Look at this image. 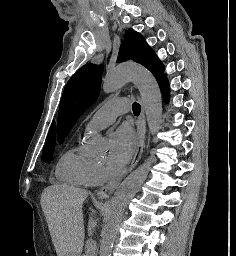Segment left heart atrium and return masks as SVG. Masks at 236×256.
Returning <instances> with one entry per match:
<instances>
[{
	"mask_svg": "<svg viewBox=\"0 0 236 256\" xmlns=\"http://www.w3.org/2000/svg\"><path fill=\"white\" fill-rule=\"evenodd\" d=\"M135 135L131 128L122 126L109 136L107 166L113 171L122 169L135 151Z\"/></svg>",
	"mask_w": 236,
	"mask_h": 256,
	"instance_id": "obj_1",
	"label": "left heart atrium"
}]
</instances>
